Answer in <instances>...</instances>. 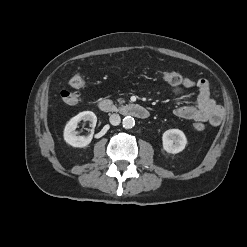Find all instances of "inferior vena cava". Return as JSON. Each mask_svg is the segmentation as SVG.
Masks as SVG:
<instances>
[{"mask_svg":"<svg viewBox=\"0 0 247 247\" xmlns=\"http://www.w3.org/2000/svg\"><path fill=\"white\" fill-rule=\"evenodd\" d=\"M109 121L112 125L117 126L120 124L121 118H120L119 114H112V115H110Z\"/></svg>","mask_w":247,"mask_h":247,"instance_id":"1","label":"inferior vena cava"}]
</instances>
